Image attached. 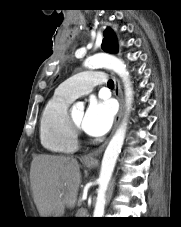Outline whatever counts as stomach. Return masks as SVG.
Masks as SVG:
<instances>
[{
  "mask_svg": "<svg viewBox=\"0 0 181 227\" xmlns=\"http://www.w3.org/2000/svg\"><path fill=\"white\" fill-rule=\"evenodd\" d=\"M86 167L91 168L93 166V163H86Z\"/></svg>",
  "mask_w": 181,
  "mask_h": 227,
  "instance_id": "stomach-1",
  "label": "stomach"
}]
</instances>
